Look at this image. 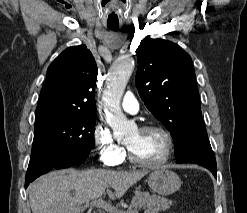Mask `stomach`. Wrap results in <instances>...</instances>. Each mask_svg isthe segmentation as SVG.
I'll list each match as a JSON object with an SVG mask.
<instances>
[{
  "mask_svg": "<svg viewBox=\"0 0 247 213\" xmlns=\"http://www.w3.org/2000/svg\"><path fill=\"white\" fill-rule=\"evenodd\" d=\"M148 184L153 192L168 196L179 190L181 180L175 172L167 168H159L149 174Z\"/></svg>",
  "mask_w": 247,
  "mask_h": 213,
  "instance_id": "1",
  "label": "stomach"
}]
</instances>
